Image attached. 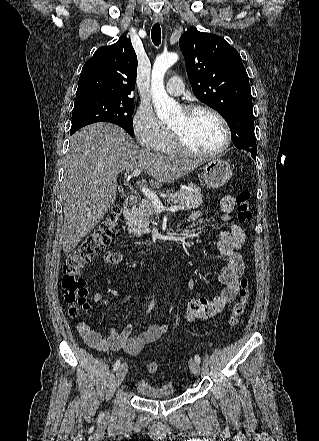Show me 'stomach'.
I'll use <instances>...</instances> for the list:
<instances>
[{
	"label": "stomach",
	"mask_w": 319,
	"mask_h": 441,
	"mask_svg": "<svg viewBox=\"0 0 319 441\" xmlns=\"http://www.w3.org/2000/svg\"><path fill=\"white\" fill-rule=\"evenodd\" d=\"M230 164L222 159H211L204 166V181L209 188L223 186L232 176Z\"/></svg>",
	"instance_id": "0dacf381"
}]
</instances>
